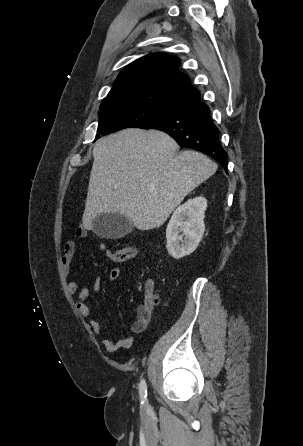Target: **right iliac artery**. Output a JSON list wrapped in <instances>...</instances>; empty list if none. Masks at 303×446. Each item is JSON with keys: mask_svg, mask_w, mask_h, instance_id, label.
<instances>
[{"mask_svg": "<svg viewBox=\"0 0 303 446\" xmlns=\"http://www.w3.org/2000/svg\"><path fill=\"white\" fill-rule=\"evenodd\" d=\"M139 393H140V398H141V403H145L147 401V385L145 380H142L140 382V386H139Z\"/></svg>", "mask_w": 303, "mask_h": 446, "instance_id": "obj_1", "label": "right iliac artery"}]
</instances>
